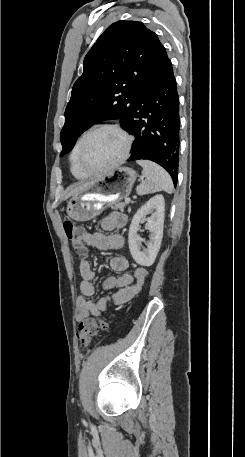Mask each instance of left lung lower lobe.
I'll return each mask as SVG.
<instances>
[{
	"label": "left lung lower lobe",
	"instance_id": "left-lung-lower-lobe-1",
	"mask_svg": "<svg viewBox=\"0 0 245 457\" xmlns=\"http://www.w3.org/2000/svg\"><path fill=\"white\" fill-rule=\"evenodd\" d=\"M135 136L128 161L147 159L161 165L176 186L180 149L179 96L172 63L160 44L142 86V98L122 127Z\"/></svg>",
	"mask_w": 245,
	"mask_h": 457
}]
</instances>
